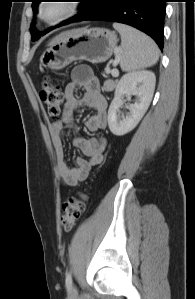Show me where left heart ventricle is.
Listing matches in <instances>:
<instances>
[{
    "mask_svg": "<svg viewBox=\"0 0 195 299\" xmlns=\"http://www.w3.org/2000/svg\"><path fill=\"white\" fill-rule=\"evenodd\" d=\"M64 6L61 1H50L43 9V17L49 21L57 19L64 13Z\"/></svg>",
    "mask_w": 195,
    "mask_h": 299,
    "instance_id": "1",
    "label": "left heart ventricle"
}]
</instances>
